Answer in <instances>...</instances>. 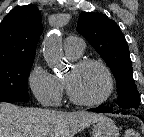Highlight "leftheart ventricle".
Segmentation results:
<instances>
[{
  "instance_id": "left-heart-ventricle-1",
  "label": "left heart ventricle",
  "mask_w": 144,
  "mask_h": 137,
  "mask_svg": "<svg viewBox=\"0 0 144 137\" xmlns=\"http://www.w3.org/2000/svg\"><path fill=\"white\" fill-rule=\"evenodd\" d=\"M64 77L68 80L75 97L83 101L97 100L107 90V78L95 65H88L81 69L71 67Z\"/></svg>"
}]
</instances>
